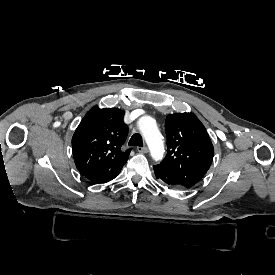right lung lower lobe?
<instances>
[{"instance_id": "98d812e1", "label": "right lung lower lobe", "mask_w": 275, "mask_h": 275, "mask_svg": "<svg viewBox=\"0 0 275 275\" xmlns=\"http://www.w3.org/2000/svg\"><path fill=\"white\" fill-rule=\"evenodd\" d=\"M120 170H109V171H102L97 173H91L85 175L86 178L93 181L94 183H106L108 181H111L114 179L118 174Z\"/></svg>"}]
</instances>
